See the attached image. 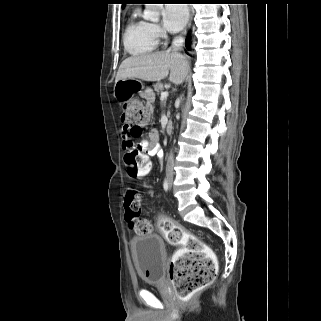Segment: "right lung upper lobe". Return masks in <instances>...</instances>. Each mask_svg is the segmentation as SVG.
Listing matches in <instances>:
<instances>
[{"label": "right lung upper lobe", "mask_w": 321, "mask_h": 321, "mask_svg": "<svg viewBox=\"0 0 321 321\" xmlns=\"http://www.w3.org/2000/svg\"><path fill=\"white\" fill-rule=\"evenodd\" d=\"M124 1H127V0H124ZM125 3H126V2H123V4H122V8L124 7Z\"/></svg>", "instance_id": "obj_1"}]
</instances>
